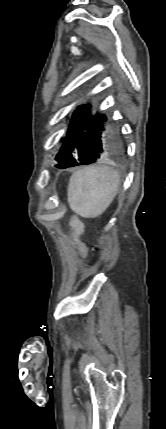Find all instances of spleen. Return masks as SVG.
Returning a JSON list of instances; mask_svg holds the SVG:
<instances>
[{
    "label": "spleen",
    "mask_w": 166,
    "mask_h": 429,
    "mask_svg": "<svg viewBox=\"0 0 166 429\" xmlns=\"http://www.w3.org/2000/svg\"><path fill=\"white\" fill-rule=\"evenodd\" d=\"M119 186V172L109 166H87L78 170L69 180L70 208L82 217H97L109 207Z\"/></svg>",
    "instance_id": "obj_1"
}]
</instances>
